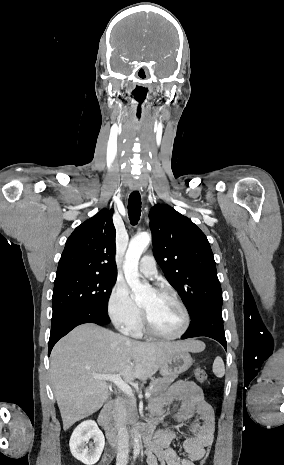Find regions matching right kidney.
Returning <instances> with one entry per match:
<instances>
[{
    "mask_svg": "<svg viewBox=\"0 0 284 465\" xmlns=\"http://www.w3.org/2000/svg\"><path fill=\"white\" fill-rule=\"evenodd\" d=\"M90 443V449H85L86 443ZM94 445V447H92ZM105 439L102 431L98 429L95 421H83L74 429L69 441L70 451L78 461L84 465H95L99 461L104 449Z\"/></svg>",
    "mask_w": 284,
    "mask_h": 465,
    "instance_id": "1",
    "label": "right kidney"
}]
</instances>
